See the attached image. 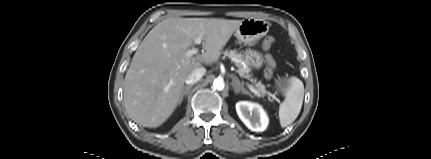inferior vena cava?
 I'll list each match as a JSON object with an SVG mask.
<instances>
[{
    "mask_svg": "<svg viewBox=\"0 0 431 159\" xmlns=\"http://www.w3.org/2000/svg\"><path fill=\"white\" fill-rule=\"evenodd\" d=\"M205 72H206V69L204 67L195 69L186 78L185 80L186 84L192 85L198 82L204 76Z\"/></svg>",
    "mask_w": 431,
    "mask_h": 159,
    "instance_id": "602c4592",
    "label": "inferior vena cava"
}]
</instances>
